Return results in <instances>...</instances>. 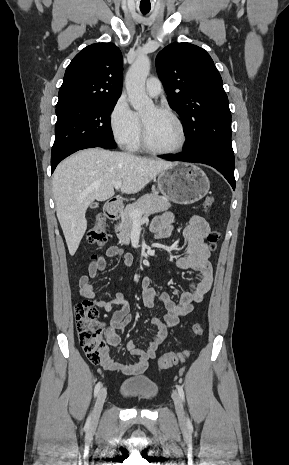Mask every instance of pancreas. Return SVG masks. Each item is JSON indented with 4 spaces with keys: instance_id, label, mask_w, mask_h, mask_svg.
<instances>
[{
    "instance_id": "pancreas-1",
    "label": "pancreas",
    "mask_w": 289,
    "mask_h": 465,
    "mask_svg": "<svg viewBox=\"0 0 289 465\" xmlns=\"http://www.w3.org/2000/svg\"><path fill=\"white\" fill-rule=\"evenodd\" d=\"M171 204L158 194H146L138 199L135 203L126 206L121 214V222L115 226L117 237L121 244H129L131 231L133 229V219L131 213L139 211L145 217L151 214L167 211Z\"/></svg>"
}]
</instances>
